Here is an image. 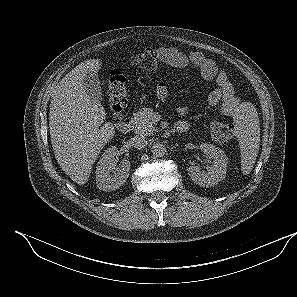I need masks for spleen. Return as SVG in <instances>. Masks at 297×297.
<instances>
[{
  "label": "spleen",
  "mask_w": 297,
  "mask_h": 297,
  "mask_svg": "<svg viewBox=\"0 0 297 297\" xmlns=\"http://www.w3.org/2000/svg\"><path fill=\"white\" fill-rule=\"evenodd\" d=\"M234 121L241 150V171L247 175L253 169L259 151L260 124L257 111L252 106H243Z\"/></svg>",
  "instance_id": "spleen-1"
}]
</instances>
